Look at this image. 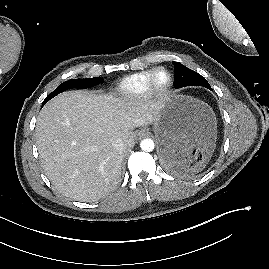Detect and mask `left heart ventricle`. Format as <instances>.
I'll return each instance as SVG.
<instances>
[{
    "label": "left heart ventricle",
    "instance_id": "1",
    "mask_svg": "<svg viewBox=\"0 0 269 269\" xmlns=\"http://www.w3.org/2000/svg\"><path fill=\"white\" fill-rule=\"evenodd\" d=\"M166 80H167V75L164 72H161V73L158 74L157 83L159 85L164 84L166 82Z\"/></svg>",
    "mask_w": 269,
    "mask_h": 269
}]
</instances>
